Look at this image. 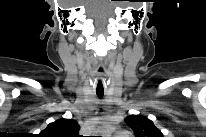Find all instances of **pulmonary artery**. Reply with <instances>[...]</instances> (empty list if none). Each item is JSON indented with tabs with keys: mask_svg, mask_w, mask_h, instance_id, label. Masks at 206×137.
Segmentation results:
<instances>
[{
	"mask_svg": "<svg viewBox=\"0 0 206 137\" xmlns=\"http://www.w3.org/2000/svg\"><path fill=\"white\" fill-rule=\"evenodd\" d=\"M113 137H129V135L125 131H119Z\"/></svg>",
	"mask_w": 206,
	"mask_h": 137,
	"instance_id": "e3ab8cb5",
	"label": "pulmonary artery"
}]
</instances>
